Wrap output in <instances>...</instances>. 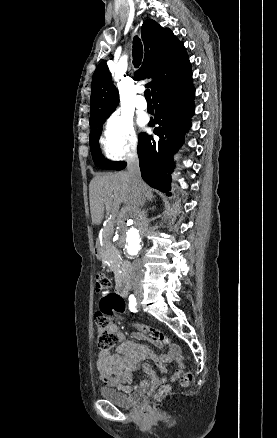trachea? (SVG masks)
Wrapping results in <instances>:
<instances>
[{"label": "trachea", "instance_id": "trachea-1", "mask_svg": "<svg viewBox=\"0 0 277 438\" xmlns=\"http://www.w3.org/2000/svg\"><path fill=\"white\" fill-rule=\"evenodd\" d=\"M132 56H133V64L135 67H139V65L141 64L142 61V57H143V47H142V43L141 40L135 36L134 40H133V50H132ZM145 98L146 100H151V94H150V90L147 88L145 90Z\"/></svg>", "mask_w": 277, "mask_h": 438}]
</instances>
